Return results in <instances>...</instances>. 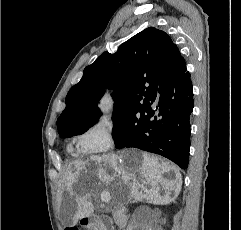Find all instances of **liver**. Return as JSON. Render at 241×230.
Returning a JSON list of instances; mask_svg holds the SVG:
<instances>
[{
	"mask_svg": "<svg viewBox=\"0 0 241 230\" xmlns=\"http://www.w3.org/2000/svg\"><path fill=\"white\" fill-rule=\"evenodd\" d=\"M90 162L95 165L90 166ZM72 165L74 168L69 169L66 173L65 185L69 195L74 197L77 204L73 217L74 225L79 219L93 213L94 206L87 199L94 196L97 189L104 185H111L110 199L118 206H122L126 196L134 198V201L145 200L154 205H167L176 200L182 187V177L175 165L157 156L134 149L124 150L119 155H92L88 161H75ZM107 169H110L111 172L109 173ZM170 172L174 175L173 179L163 176ZM91 175L98 180L94 190L79 197L73 191V185L80 183L81 179L80 184H83L84 177ZM122 186L128 187L127 195L123 192ZM147 186L150 187L147 188ZM103 193H108V191H103ZM172 194L173 196H171Z\"/></svg>",
	"mask_w": 241,
	"mask_h": 230,
	"instance_id": "liver-1",
	"label": "liver"
}]
</instances>
